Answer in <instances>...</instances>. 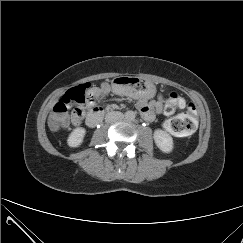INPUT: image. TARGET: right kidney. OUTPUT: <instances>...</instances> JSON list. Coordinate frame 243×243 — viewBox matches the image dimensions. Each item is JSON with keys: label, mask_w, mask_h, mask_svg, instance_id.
<instances>
[{"label": "right kidney", "mask_w": 243, "mask_h": 243, "mask_svg": "<svg viewBox=\"0 0 243 243\" xmlns=\"http://www.w3.org/2000/svg\"><path fill=\"white\" fill-rule=\"evenodd\" d=\"M86 130L82 127L74 129L68 137L67 143L70 147H78L82 144Z\"/></svg>", "instance_id": "obj_1"}]
</instances>
